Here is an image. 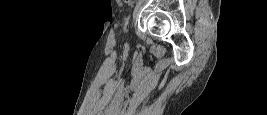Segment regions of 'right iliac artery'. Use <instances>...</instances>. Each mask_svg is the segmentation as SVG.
I'll list each match as a JSON object with an SVG mask.
<instances>
[{
	"mask_svg": "<svg viewBox=\"0 0 267 115\" xmlns=\"http://www.w3.org/2000/svg\"><path fill=\"white\" fill-rule=\"evenodd\" d=\"M129 18H130V17H128L127 20H126L124 30H126V27H127L128 21H129Z\"/></svg>",
	"mask_w": 267,
	"mask_h": 115,
	"instance_id": "obj_1",
	"label": "right iliac artery"
}]
</instances>
